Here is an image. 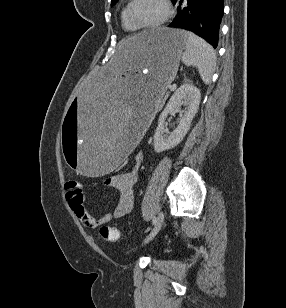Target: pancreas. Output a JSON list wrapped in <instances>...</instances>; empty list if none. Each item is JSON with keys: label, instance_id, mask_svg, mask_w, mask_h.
<instances>
[{"label": "pancreas", "instance_id": "pancreas-1", "mask_svg": "<svg viewBox=\"0 0 286 308\" xmlns=\"http://www.w3.org/2000/svg\"><path fill=\"white\" fill-rule=\"evenodd\" d=\"M164 101V99L160 100V101H157V105L156 106H159V104H162Z\"/></svg>", "mask_w": 286, "mask_h": 308}]
</instances>
